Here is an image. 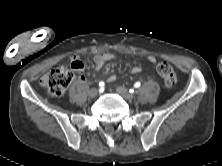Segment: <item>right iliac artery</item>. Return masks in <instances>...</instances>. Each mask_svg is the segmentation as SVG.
Segmentation results:
<instances>
[{"label": "right iliac artery", "instance_id": "82829eb1", "mask_svg": "<svg viewBox=\"0 0 222 166\" xmlns=\"http://www.w3.org/2000/svg\"><path fill=\"white\" fill-rule=\"evenodd\" d=\"M99 86L102 88V87H104V82H100L99 83Z\"/></svg>", "mask_w": 222, "mask_h": 166}]
</instances>
